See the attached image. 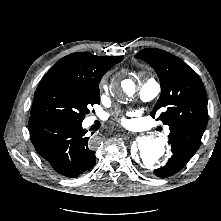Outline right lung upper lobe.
<instances>
[{"instance_id": "cb5924a9", "label": "right lung upper lobe", "mask_w": 221, "mask_h": 221, "mask_svg": "<svg viewBox=\"0 0 221 221\" xmlns=\"http://www.w3.org/2000/svg\"><path fill=\"white\" fill-rule=\"evenodd\" d=\"M123 56H95L89 52H79L61 58L43 78L62 75L87 84L99 83L102 76Z\"/></svg>"}]
</instances>
